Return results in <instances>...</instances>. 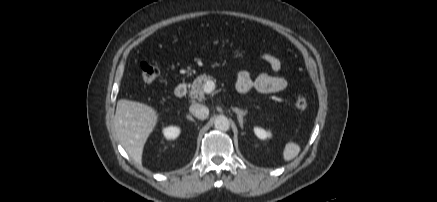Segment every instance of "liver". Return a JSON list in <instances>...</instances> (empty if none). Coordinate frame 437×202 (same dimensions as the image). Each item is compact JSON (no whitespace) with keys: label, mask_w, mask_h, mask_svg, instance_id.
<instances>
[{"label":"liver","mask_w":437,"mask_h":202,"mask_svg":"<svg viewBox=\"0 0 437 202\" xmlns=\"http://www.w3.org/2000/svg\"><path fill=\"white\" fill-rule=\"evenodd\" d=\"M157 111L144 103L120 99L117 102L114 125L116 135L138 164L142 163L144 145L158 122Z\"/></svg>","instance_id":"obj_1"}]
</instances>
